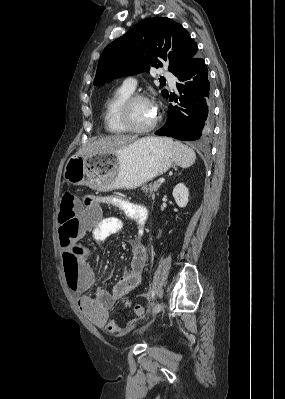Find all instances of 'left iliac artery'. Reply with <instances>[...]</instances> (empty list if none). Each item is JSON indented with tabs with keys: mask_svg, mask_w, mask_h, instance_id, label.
<instances>
[{
	"mask_svg": "<svg viewBox=\"0 0 285 399\" xmlns=\"http://www.w3.org/2000/svg\"><path fill=\"white\" fill-rule=\"evenodd\" d=\"M151 296H152V298H154V296H155L154 290L151 291Z\"/></svg>",
	"mask_w": 285,
	"mask_h": 399,
	"instance_id": "1",
	"label": "left iliac artery"
}]
</instances>
